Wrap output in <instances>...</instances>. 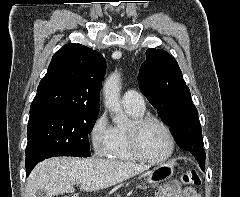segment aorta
Returning <instances> with one entry per match:
<instances>
[{
    "instance_id": "1",
    "label": "aorta",
    "mask_w": 240,
    "mask_h": 197,
    "mask_svg": "<svg viewBox=\"0 0 240 197\" xmlns=\"http://www.w3.org/2000/svg\"><path fill=\"white\" fill-rule=\"evenodd\" d=\"M120 74L113 73L105 81L103 93H104V103L109 111L113 112L115 116L113 117V122L117 125L125 124L128 119L122 110V105L120 102Z\"/></svg>"
}]
</instances>
